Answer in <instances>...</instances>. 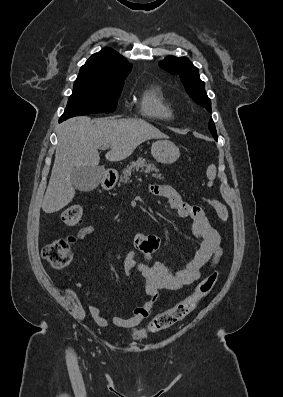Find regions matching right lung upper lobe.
Masks as SVG:
<instances>
[{
    "label": "right lung upper lobe",
    "instance_id": "1",
    "mask_svg": "<svg viewBox=\"0 0 283 397\" xmlns=\"http://www.w3.org/2000/svg\"><path fill=\"white\" fill-rule=\"evenodd\" d=\"M132 65L116 51L105 48L93 54L80 68L79 77L101 81L125 80Z\"/></svg>",
    "mask_w": 283,
    "mask_h": 397
}]
</instances>
